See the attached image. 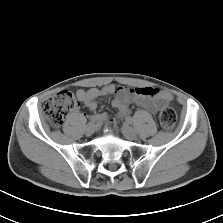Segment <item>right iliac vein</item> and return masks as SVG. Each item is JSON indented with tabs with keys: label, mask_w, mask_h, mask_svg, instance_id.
<instances>
[{
	"label": "right iliac vein",
	"mask_w": 223,
	"mask_h": 223,
	"mask_svg": "<svg viewBox=\"0 0 223 223\" xmlns=\"http://www.w3.org/2000/svg\"><path fill=\"white\" fill-rule=\"evenodd\" d=\"M95 124H88L85 128L86 135L90 136L95 132Z\"/></svg>",
	"instance_id": "1"
}]
</instances>
